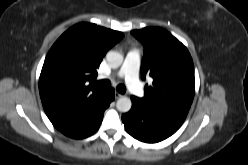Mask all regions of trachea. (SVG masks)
<instances>
[{"instance_id": "3493384b", "label": "trachea", "mask_w": 248, "mask_h": 165, "mask_svg": "<svg viewBox=\"0 0 248 165\" xmlns=\"http://www.w3.org/2000/svg\"><path fill=\"white\" fill-rule=\"evenodd\" d=\"M94 84L96 86H100L104 88H108L111 86V82L109 80L94 81ZM116 89L121 94H124L126 92V87L123 84L118 85Z\"/></svg>"}]
</instances>
